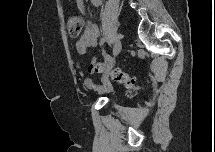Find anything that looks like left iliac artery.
Listing matches in <instances>:
<instances>
[{
    "label": "left iliac artery",
    "instance_id": "44dca946",
    "mask_svg": "<svg viewBox=\"0 0 215 152\" xmlns=\"http://www.w3.org/2000/svg\"><path fill=\"white\" fill-rule=\"evenodd\" d=\"M104 41H105V38H102V39H101V43H104ZM106 56H107V58H108V66H107L106 69H103V70L101 71L103 74H107V73L110 72L111 69L113 68V56H112L111 54H108V55H106Z\"/></svg>",
    "mask_w": 215,
    "mask_h": 152
}]
</instances>
